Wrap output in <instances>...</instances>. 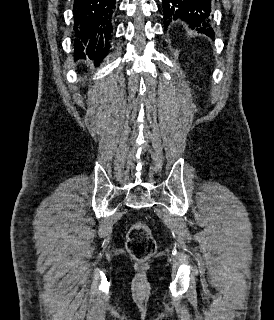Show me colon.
Segmentation results:
<instances>
[{"label":"colon","instance_id":"obj_1","mask_svg":"<svg viewBox=\"0 0 274 320\" xmlns=\"http://www.w3.org/2000/svg\"><path fill=\"white\" fill-rule=\"evenodd\" d=\"M128 252L139 262L148 260L156 250V242L150 227L145 223H135L131 226L126 240Z\"/></svg>","mask_w":274,"mask_h":320}]
</instances>
